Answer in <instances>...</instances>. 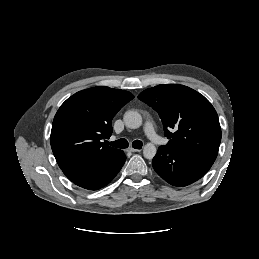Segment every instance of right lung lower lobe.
Returning a JSON list of instances; mask_svg holds the SVG:
<instances>
[{
	"instance_id": "98d812e1",
	"label": "right lung lower lobe",
	"mask_w": 259,
	"mask_h": 259,
	"mask_svg": "<svg viewBox=\"0 0 259 259\" xmlns=\"http://www.w3.org/2000/svg\"><path fill=\"white\" fill-rule=\"evenodd\" d=\"M125 160L124 152L119 150L112 156L87 167L63 170V172L74 184L85 189L97 190L113 180L124 165Z\"/></svg>"
}]
</instances>
